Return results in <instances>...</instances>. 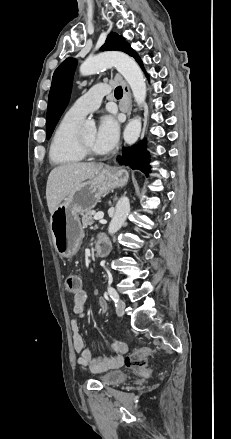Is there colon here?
Masks as SVG:
<instances>
[{"label":"colon","instance_id":"obj_1","mask_svg":"<svg viewBox=\"0 0 231 439\" xmlns=\"http://www.w3.org/2000/svg\"><path fill=\"white\" fill-rule=\"evenodd\" d=\"M83 285L84 282L80 276L70 275L65 280V288L70 295H76L78 287ZM152 353L153 350L149 347H143L137 349L126 356L125 365L127 368H129L130 370L134 371L139 375L148 376L150 374V370L147 366V358Z\"/></svg>","mask_w":231,"mask_h":439}]
</instances>
